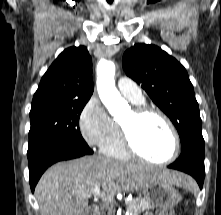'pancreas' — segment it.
Segmentation results:
<instances>
[{"instance_id": "cf45deb5", "label": "pancreas", "mask_w": 221, "mask_h": 215, "mask_svg": "<svg viewBox=\"0 0 221 215\" xmlns=\"http://www.w3.org/2000/svg\"><path fill=\"white\" fill-rule=\"evenodd\" d=\"M128 215H139L144 210L152 209L154 206L144 199H133L125 201Z\"/></svg>"}]
</instances>
